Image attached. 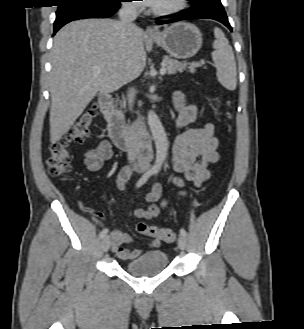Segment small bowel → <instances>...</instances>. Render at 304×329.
Here are the masks:
<instances>
[{"mask_svg": "<svg viewBox=\"0 0 304 329\" xmlns=\"http://www.w3.org/2000/svg\"><path fill=\"white\" fill-rule=\"evenodd\" d=\"M175 107L178 115L176 124L179 127H185L195 121L198 115V108L186 102L184 94L177 91L173 95ZM218 139L214 135L212 124H206L201 128H191L181 133L173 143L172 148V167L183 174L187 181L200 186L210 177L209 166L218 161L217 152ZM112 146L108 140H102L95 148L88 150L84 154V163L91 172H97L101 169L104 161L112 157ZM148 167L146 162L138 166H131L121 170L116 178L118 190L125 189L126 183L133 171L145 170ZM178 186L182 185V180L174 179ZM161 194V187L157 186L154 191L145 196L147 206L136 209L131 216L138 219H151L159 214V209L155 205ZM96 223L99 221L96 219ZM132 238L120 229L110 231V246L123 260H131L143 253L141 249H130ZM160 246L158 239H152L149 242L150 249H157Z\"/></svg>", "mask_w": 304, "mask_h": 329, "instance_id": "c3829d8e", "label": "small bowel"}]
</instances>
